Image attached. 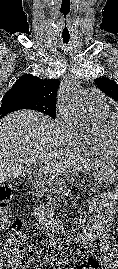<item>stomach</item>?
<instances>
[{"label": "stomach", "instance_id": "obj_1", "mask_svg": "<svg viewBox=\"0 0 118 269\" xmlns=\"http://www.w3.org/2000/svg\"><path fill=\"white\" fill-rule=\"evenodd\" d=\"M95 179L105 185L113 184L118 177V170L108 163H101L93 168Z\"/></svg>", "mask_w": 118, "mask_h": 269}]
</instances>
